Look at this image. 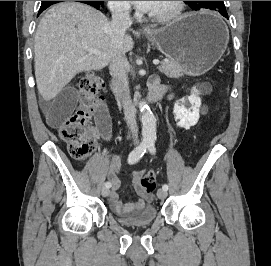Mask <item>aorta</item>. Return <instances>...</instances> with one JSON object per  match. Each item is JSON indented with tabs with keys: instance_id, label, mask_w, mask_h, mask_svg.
Returning <instances> with one entry per match:
<instances>
[{
	"instance_id": "762f6f07",
	"label": "aorta",
	"mask_w": 271,
	"mask_h": 266,
	"mask_svg": "<svg viewBox=\"0 0 271 266\" xmlns=\"http://www.w3.org/2000/svg\"><path fill=\"white\" fill-rule=\"evenodd\" d=\"M142 122V136L144 140H154L156 138V119L148 104L144 101L139 103Z\"/></svg>"
}]
</instances>
